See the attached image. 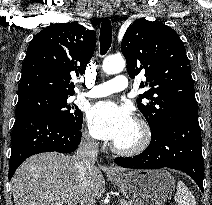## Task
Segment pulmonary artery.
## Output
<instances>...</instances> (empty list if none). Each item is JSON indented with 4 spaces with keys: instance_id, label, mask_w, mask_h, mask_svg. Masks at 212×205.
<instances>
[{
    "instance_id": "e3ab8cb5",
    "label": "pulmonary artery",
    "mask_w": 212,
    "mask_h": 205,
    "mask_svg": "<svg viewBox=\"0 0 212 205\" xmlns=\"http://www.w3.org/2000/svg\"><path fill=\"white\" fill-rule=\"evenodd\" d=\"M128 87V79L124 75H117L113 79L96 84L82 94L91 98L105 97L112 93L120 92Z\"/></svg>"
}]
</instances>
